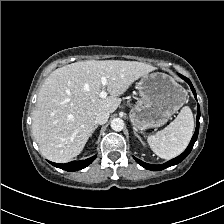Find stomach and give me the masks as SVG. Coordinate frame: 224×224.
<instances>
[{"label":"stomach","instance_id":"0dacf381","mask_svg":"<svg viewBox=\"0 0 224 224\" xmlns=\"http://www.w3.org/2000/svg\"><path fill=\"white\" fill-rule=\"evenodd\" d=\"M137 89L140 99L129 114L136 131L163 126L187 98L186 90L173 77L161 72L144 75Z\"/></svg>","mask_w":224,"mask_h":224}]
</instances>
